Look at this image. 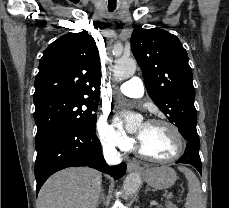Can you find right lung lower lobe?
<instances>
[{
  "label": "right lung lower lobe",
  "mask_w": 229,
  "mask_h": 208,
  "mask_svg": "<svg viewBox=\"0 0 229 208\" xmlns=\"http://www.w3.org/2000/svg\"><path fill=\"white\" fill-rule=\"evenodd\" d=\"M36 194L53 173L67 167L89 166L110 174L115 180L126 172V164L108 167L95 131L61 126L36 140Z\"/></svg>",
  "instance_id": "obj_1"
}]
</instances>
